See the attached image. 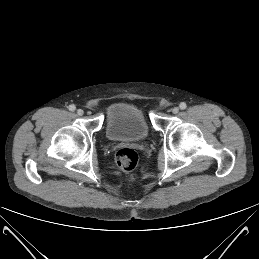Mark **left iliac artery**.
<instances>
[{
    "mask_svg": "<svg viewBox=\"0 0 259 259\" xmlns=\"http://www.w3.org/2000/svg\"><path fill=\"white\" fill-rule=\"evenodd\" d=\"M179 107H180V109L184 110V109H186L187 105L185 102H181Z\"/></svg>",
    "mask_w": 259,
    "mask_h": 259,
    "instance_id": "44dca946",
    "label": "left iliac artery"
}]
</instances>
